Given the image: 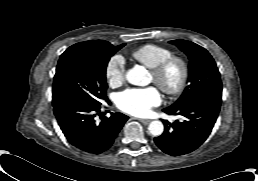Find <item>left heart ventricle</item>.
Segmentation results:
<instances>
[{
  "label": "left heart ventricle",
  "mask_w": 258,
  "mask_h": 181,
  "mask_svg": "<svg viewBox=\"0 0 258 181\" xmlns=\"http://www.w3.org/2000/svg\"><path fill=\"white\" fill-rule=\"evenodd\" d=\"M178 73L179 72L177 67H172L166 76L167 83L169 84L174 83L178 78ZM151 80H154V77L152 74H151Z\"/></svg>",
  "instance_id": "1"
}]
</instances>
